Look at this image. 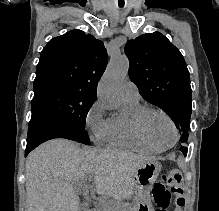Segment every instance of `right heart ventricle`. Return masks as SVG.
<instances>
[{"label": "right heart ventricle", "mask_w": 219, "mask_h": 211, "mask_svg": "<svg viewBox=\"0 0 219 211\" xmlns=\"http://www.w3.org/2000/svg\"><path fill=\"white\" fill-rule=\"evenodd\" d=\"M123 112L111 117L109 142L114 147L144 153H157L159 150L147 144L135 127V116L143 108L139 102H122Z\"/></svg>", "instance_id": "1"}]
</instances>
